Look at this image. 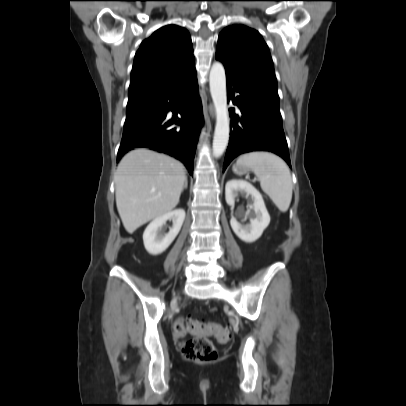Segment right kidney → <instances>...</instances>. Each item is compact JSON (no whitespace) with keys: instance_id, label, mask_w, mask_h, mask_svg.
<instances>
[{"instance_id":"ca27d5eb","label":"right kidney","mask_w":406,"mask_h":406,"mask_svg":"<svg viewBox=\"0 0 406 406\" xmlns=\"http://www.w3.org/2000/svg\"><path fill=\"white\" fill-rule=\"evenodd\" d=\"M185 219L183 209L173 210L158 218H155L145 229L143 233V242L145 249L152 255H158L164 252L178 235ZM172 221L173 225L166 235H160L159 229Z\"/></svg>"}]
</instances>
